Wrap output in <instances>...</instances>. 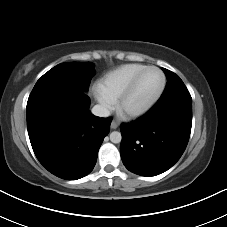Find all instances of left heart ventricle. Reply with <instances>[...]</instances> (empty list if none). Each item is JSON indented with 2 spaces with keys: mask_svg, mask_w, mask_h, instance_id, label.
<instances>
[{
  "mask_svg": "<svg viewBox=\"0 0 227 227\" xmlns=\"http://www.w3.org/2000/svg\"><path fill=\"white\" fill-rule=\"evenodd\" d=\"M162 76L157 70L147 71L141 78L136 90L128 100L129 108H136L149 101L160 89Z\"/></svg>",
  "mask_w": 227,
  "mask_h": 227,
  "instance_id": "left-heart-ventricle-1",
  "label": "left heart ventricle"
}]
</instances>
